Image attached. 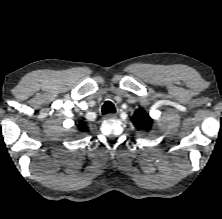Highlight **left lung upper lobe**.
Masks as SVG:
<instances>
[{"instance_id":"5c2ea615","label":"left lung upper lobe","mask_w":222,"mask_h":219,"mask_svg":"<svg viewBox=\"0 0 222 219\" xmlns=\"http://www.w3.org/2000/svg\"><path fill=\"white\" fill-rule=\"evenodd\" d=\"M131 120L137 129H148L153 123V120L142 108L135 111Z\"/></svg>"}]
</instances>
